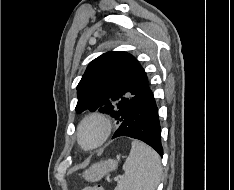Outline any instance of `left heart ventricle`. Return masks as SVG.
<instances>
[{
  "label": "left heart ventricle",
  "instance_id": "1",
  "mask_svg": "<svg viewBox=\"0 0 234 190\" xmlns=\"http://www.w3.org/2000/svg\"><path fill=\"white\" fill-rule=\"evenodd\" d=\"M99 137V129L97 126L86 128L82 134L83 142L87 145L94 143Z\"/></svg>",
  "mask_w": 234,
  "mask_h": 190
}]
</instances>
